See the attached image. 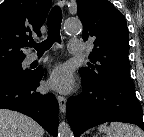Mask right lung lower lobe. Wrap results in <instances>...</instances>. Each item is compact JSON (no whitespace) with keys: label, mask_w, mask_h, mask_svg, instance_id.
Listing matches in <instances>:
<instances>
[{"label":"right lung lower lobe","mask_w":144,"mask_h":137,"mask_svg":"<svg viewBox=\"0 0 144 137\" xmlns=\"http://www.w3.org/2000/svg\"><path fill=\"white\" fill-rule=\"evenodd\" d=\"M43 74V69H37L25 78L0 80V109L19 111L57 136L58 102L52 93L37 91Z\"/></svg>","instance_id":"98d812e1"}]
</instances>
